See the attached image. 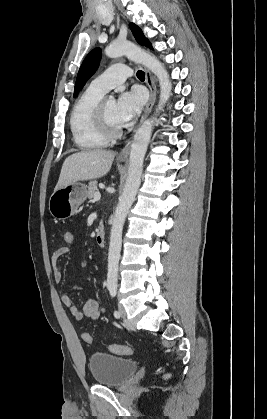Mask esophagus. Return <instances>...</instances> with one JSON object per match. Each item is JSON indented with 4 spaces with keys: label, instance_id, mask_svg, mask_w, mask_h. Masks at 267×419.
Instances as JSON below:
<instances>
[{
    "label": "esophagus",
    "instance_id": "1",
    "mask_svg": "<svg viewBox=\"0 0 267 419\" xmlns=\"http://www.w3.org/2000/svg\"><path fill=\"white\" fill-rule=\"evenodd\" d=\"M144 72H145L146 84H147V87H148L149 92H150V98H149V102L146 105L144 113L142 115L141 123L146 119V117L151 112V110L153 108V105L155 103V100H156L155 79H154V77L152 76V74L150 73V71L148 69L144 68ZM130 145H131V137L126 141L125 146L123 147V149L118 154L119 159H127L128 158L129 151H130Z\"/></svg>",
    "mask_w": 267,
    "mask_h": 419
}]
</instances>
